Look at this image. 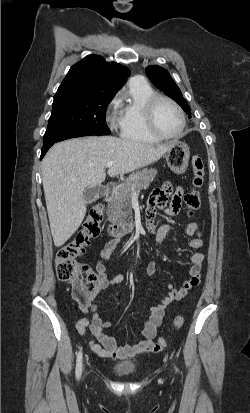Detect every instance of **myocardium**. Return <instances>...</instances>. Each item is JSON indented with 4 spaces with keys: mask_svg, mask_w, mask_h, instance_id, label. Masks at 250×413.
Masks as SVG:
<instances>
[{
    "mask_svg": "<svg viewBox=\"0 0 250 413\" xmlns=\"http://www.w3.org/2000/svg\"><path fill=\"white\" fill-rule=\"evenodd\" d=\"M160 101H166L170 103L178 111L180 115L181 126H180L179 131L176 134H173V135L163 134L156 127L155 111ZM144 115H145V124H146L147 130L153 137L159 140H172V139L179 138L183 134L184 129L186 127V116H185L183 109L175 100H173L172 98L166 95L156 94V93L152 95L145 104Z\"/></svg>",
    "mask_w": 250,
    "mask_h": 413,
    "instance_id": "f54148a6",
    "label": "myocardium"
}]
</instances>
